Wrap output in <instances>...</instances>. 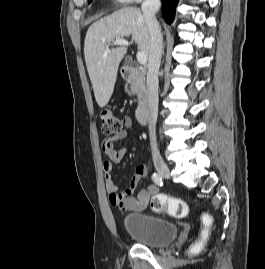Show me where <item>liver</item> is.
I'll use <instances>...</instances> for the list:
<instances>
[{
    "label": "liver",
    "instance_id": "1",
    "mask_svg": "<svg viewBox=\"0 0 265 269\" xmlns=\"http://www.w3.org/2000/svg\"><path fill=\"white\" fill-rule=\"evenodd\" d=\"M132 37L141 51L149 55L150 34L143 13L136 7H124L94 22L84 42V55L94 95L99 107L109 102L114 90L117 71L127 53L125 46L105 50L115 39Z\"/></svg>",
    "mask_w": 265,
    "mask_h": 269
}]
</instances>
